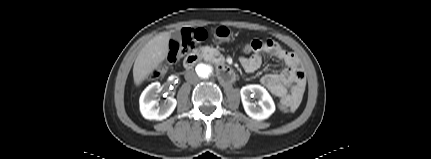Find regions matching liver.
Segmentation results:
<instances>
[{
	"mask_svg": "<svg viewBox=\"0 0 431 159\" xmlns=\"http://www.w3.org/2000/svg\"><path fill=\"white\" fill-rule=\"evenodd\" d=\"M170 38V32H162L141 49L133 66V78L136 86L141 85L167 58Z\"/></svg>",
	"mask_w": 431,
	"mask_h": 159,
	"instance_id": "obj_1",
	"label": "liver"
}]
</instances>
